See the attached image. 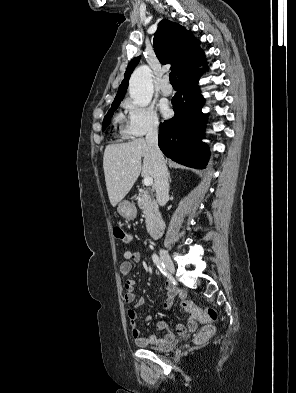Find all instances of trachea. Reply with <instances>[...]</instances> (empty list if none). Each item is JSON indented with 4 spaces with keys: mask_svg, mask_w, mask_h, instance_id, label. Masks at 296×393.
Returning <instances> with one entry per match:
<instances>
[{
    "mask_svg": "<svg viewBox=\"0 0 296 393\" xmlns=\"http://www.w3.org/2000/svg\"><path fill=\"white\" fill-rule=\"evenodd\" d=\"M169 79H170V83L171 84H177L178 83L176 74L173 71L169 74Z\"/></svg>",
    "mask_w": 296,
    "mask_h": 393,
    "instance_id": "1",
    "label": "trachea"
}]
</instances>
